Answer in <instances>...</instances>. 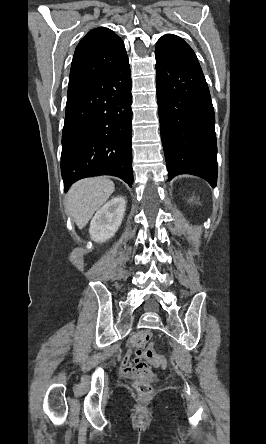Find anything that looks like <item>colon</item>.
I'll use <instances>...</instances> for the list:
<instances>
[{
    "label": "colon",
    "mask_w": 266,
    "mask_h": 444,
    "mask_svg": "<svg viewBox=\"0 0 266 444\" xmlns=\"http://www.w3.org/2000/svg\"><path fill=\"white\" fill-rule=\"evenodd\" d=\"M142 354L146 363L152 367H165L167 365V359L155 352L153 343H148ZM134 387L141 396H149L152 393V386L146 380H137Z\"/></svg>",
    "instance_id": "colon-1"
}]
</instances>
